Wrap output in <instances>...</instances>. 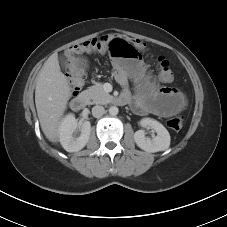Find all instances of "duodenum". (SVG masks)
<instances>
[{"mask_svg": "<svg viewBox=\"0 0 227 227\" xmlns=\"http://www.w3.org/2000/svg\"><path fill=\"white\" fill-rule=\"evenodd\" d=\"M89 102V96L86 93H79L76 96L73 97L71 100V108L74 111H80L82 110ZM117 102L119 104H125V99L122 98L121 96L117 99Z\"/></svg>", "mask_w": 227, "mask_h": 227, "instance_id": "1", "label": "duodenum"}]
</instances>
